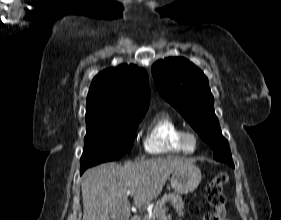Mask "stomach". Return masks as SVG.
Wrapping results in <instances>:
<instances>
[{"mask_svg":"<svg viewBox=\"0 0 281 220\" xmlns=\"http://www.w3.org/2000/svg\"><path fill=\"white\" fill-rule=\"evenodd\" d=\"M202 179L200 169L195 165H190L182 169L175 170L170 183L172 188L180 194L193 192Z\"/></svg>","mask_w":281,"mask_h":220,"instance_id":"1","label":"stomach"}]
</instances>
